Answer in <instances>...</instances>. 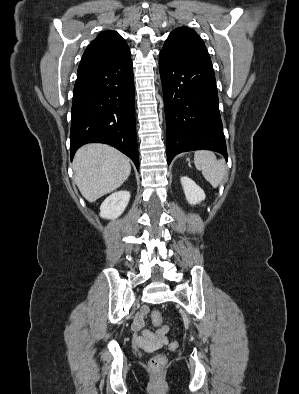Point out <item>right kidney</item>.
I'll return each instance as SVG.
<instances>
[{"mask_svg":"<svg viewBox=\"0 0 299 394\" xmlns=\"http://www.w3.org/2000/svg\"><path fill=\"white\" fill-rule=\"evenodd\" d=\"M130 200L129 191H118L107 197L100 206V217L116 219L126 209Z\"/></svg>","mask_w":299,"mask_h":394,"instance_id":"obj_1","label":"right kidney"}]
</instances>
